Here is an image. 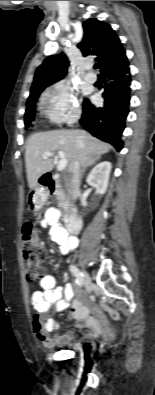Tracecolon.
<instances>
[{"label": "colon", "instance_id": "colon-1", "mask_svg": "<svg viewBox=\"0 0 155 395\" xmlns=\"http://www.w3.org/2000/svg\"><path fill=\"white\" fill-rule=\"evenodd\" d=\"M22 248L26 263V279L28 283L34 284L44 273L43 263L46 260V252L43 242L39 238L32 223H26L22 229Z\"/></svg>", "mask_w": 155, "mask_h": 395}]
</instances>
